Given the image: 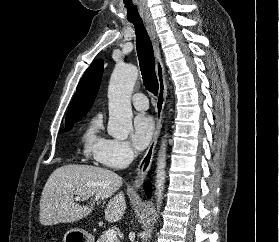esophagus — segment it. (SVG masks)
Masks as SVG:
<instances>
[{
  "label": "esophagus",
  "instance_id": "obj_1",
  "mask_svg": "<svg viewBox=\"0 0 279 242\" xmlns=\"http://www.w3.org/2000/svg\"><path fill=\"white\" fill-rule=\"evenodd\" d=\"M146 28L148 30V33L153 41L154 49H155V57H156V75L159 83V90H158V96H157V103H156V128L155 133L152 138V141L144 154L143 158L141 159L138 169H137V175L135 178V181L132 184V190L137 191L142 186L146 175L150 169L154 153H155V147L157 144V140L160 135L161 127H162V118H163V109L166 102V96H167V87L165 82V71H164V65L161 58V53L159 49V41L158 36L155 30V26L152 21H145Z\"/></svg>",
  "mask_w": 279,
  "mask_h": 242
}]
</instances>
